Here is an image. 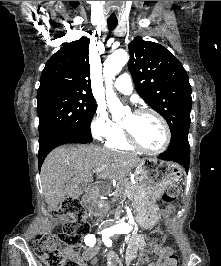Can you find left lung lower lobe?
I'll return each mask as SVG.
<instances>
[{
  "label": "left lung lower lobe",
  "mask_w": 221,
  "mask_h": 266,
  "mask_svg": "<svg viewBox=\"0 0 221 266\" xmlns=\"http://www.w3.org/2000/svg\"><path fill=\"white\" fill-rule=\"evenodd\" d=\"M159 158L181 164L185 168L186 172H188L190 161V146L188 137L175 140L171 143L167 151L159 155Z\"/></svg>",
  "instance_id": "left-lung-lower-lobe-1"
}]
</instances>
